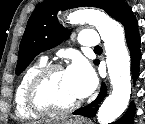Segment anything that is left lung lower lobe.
<instances>
[{"label": "left lung lower lobe", "mask_w": 145, "mask_h": 124, "mask_svg": "<svg viewBox=\"0 0 145 124\" xmlns=\"http://www.w3.org/2000/svg\"><path fill=\"white\" fill-rule=\"evenodd\" d=\"M117 21L122 23L125 28V37L131 53L132 75L133 79L135 80L139 73V61L141 56L138 23L130 8L126 9L119 16ZM105 96H106V86L105 84H102L100 93L96 98V100L93 101L88 106L76 110L73 114L82 115L85 117H93L99 108V104L103 101ZM134 112L135 106L133 103H131L125 115L116 122H113L112 124H133Z\"/></svg>", "instance_id": "obj_1"}]
</instances>
